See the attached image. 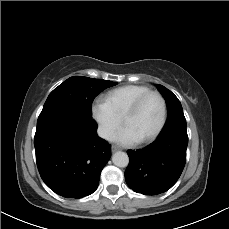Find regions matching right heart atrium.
Listing matches in <instances>:
<instances>
[{
    "mask_svg": "<svg viewBox=\"0 0 229 229\" xmlns=\"http://www.w3.org/2000/svg\"><path fill=\"white\" fill-rule=\"evenodd\" d=\"M91 113L102 137L106 140H112L121 128V119L112 112L103 99H97L93 102Z\"/></svg>",
    "mask_w": 229,
    "mask_h": 229,
    "instance_id": "d8ad5b80",
    "label": "right heart atrium"
}]
</instances>
